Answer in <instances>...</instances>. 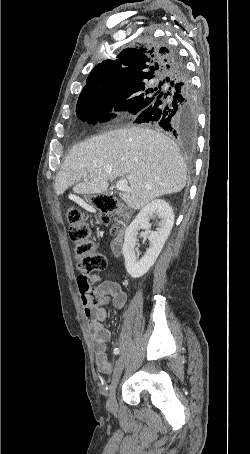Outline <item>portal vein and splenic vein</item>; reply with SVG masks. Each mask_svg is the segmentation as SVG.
Returning a JSON list of instances; mask_svg holds the SVG:
<instances>
[{
    "mask_svg": "<svg viewBox=\"0 0 250 454\" xmlns=\"http://www.w3.org/2000/svg\"><path fill=\"white\" fill-rule=\"evenodd\" d=\"M83 178L86 179L87 178V174H84L83 175ZM116 189L119 190V191H132L129 186H128V182L126 179H122V180H119L116 184Z\"/></svg>",
    "mask_w": 250,
    "mask_h": 454,
    "instance_id": "1",
    "label": "portal vein and splenic vein"
}]
</instances>
